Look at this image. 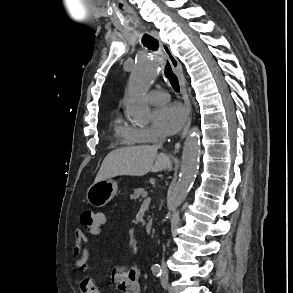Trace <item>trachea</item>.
<instances>
[{
  "mask_svg": "<svg viewBox=\"0 0 293 293\" xmlns=\"http://www.w3.org/2000/svg\"><path fill=\"white\" fill-rule=\"evenodd\" d=\"M142 43L145 47H147L148 49H151V50H157L159 47L158 40L149 34H145L143 36ZM164 73H165V76L169 79L170 84L173 87V89L178 91L179 90L178 78L175 74H173L172 68H171L169 62H167L165 65Z\"/></svg>",
  "mask_w": 293,
  "mask_h": 293,
  "instance_id": "trachea-1",
  "label": "trachea"
}]
</instances>
